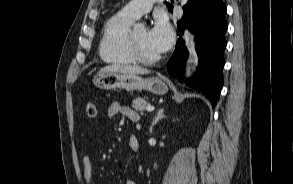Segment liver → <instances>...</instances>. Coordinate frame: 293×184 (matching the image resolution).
Returning a JSON list of instances; mask_svg holds the SVG:
<instances>
[{"mask_svg":"<svg viewBox=\"0 0 293 184\" xmlns=\"http://www.w3.org/2000/svg\"><path fill=\"white\" fill-rule=\"evenodd\" d=\"M100 72H118V73H129V74H149L150 71L139 67L137 65H120L113 64L108 65L100 69Z\"/></svg>","mask_w":293,"mask_h":184,"instance_id":"obj_1","label":"liver"}]
</instances>
